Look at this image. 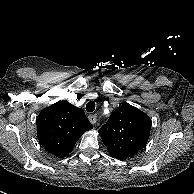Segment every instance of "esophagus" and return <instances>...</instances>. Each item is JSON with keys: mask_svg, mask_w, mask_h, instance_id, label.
<instances>
[{"mask_svg": "<svg viewBox=\"0 0 194 194\" xmlns=\"http://www.w3.org/2000/svg\"><path fill=\"white\" fill-rule=\"evenodd\" d=\"M88 119H89V121H90L92 124H95L96 121H97L96 115H89V116H88Z\"/></svg>", "mask_w": 194, "mask_h": 194, "instance_id": "esophagus-1", "label": "esophagus"}]
</instances>
